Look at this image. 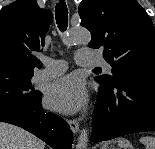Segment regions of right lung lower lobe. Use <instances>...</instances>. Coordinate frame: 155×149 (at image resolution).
Wrapping results in <instances>:
<instances>
[{"label":"right lung lower lobe","instance_id":"right-lung-lower-lobe-1","mask_svg":"<svg viewBox=\"0 0 155 149\" xmlns=\"http://www.w3.org/2000/svg\"><path fill=\"white\" fill-rule=\"evenodd\" d=\"M0 122L22 127L55 149H70L73 143L69 125L58 115L45 112L41 99L26 108L0 106Z\"/></svg>","mask_w":155,"mask_h":149}]
</instances>
